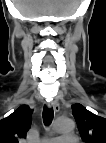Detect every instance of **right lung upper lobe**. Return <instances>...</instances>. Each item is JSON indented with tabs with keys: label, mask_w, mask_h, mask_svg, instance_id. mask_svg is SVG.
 I'll return each mask as SVG.
<instances>
[{
	"label": "right lung upper lobe",
	"mask_w": 106,
	"mask_h": 143,
	"mask_svg": "<svg viewBox=\"0 0 106 143\" xmlns=\"http://www.w3.org/2000/svg\"><path fill=\"white\" fill-rule=\"evenodd\" d=\"M32 112L27 105H22L0 120V143H19L25 138L31 127Z\"/></svg>",
	"instance_id": "obj_1"
}]
</instances>
